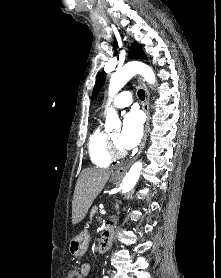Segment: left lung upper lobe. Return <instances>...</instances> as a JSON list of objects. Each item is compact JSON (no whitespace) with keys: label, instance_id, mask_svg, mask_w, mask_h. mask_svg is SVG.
Segmentation results:
<instances>
[{"label":"left lung upper lobe","instance_id":"left-lung-upper-lobe-1","mask_svg":"<svg viewBox=\"0 0 221 278\" xmlns=\"http://www.w3.org/2000/svg\"><path fill=\"white\" fill-rule=\"evenodd\" d=\"M130 56L134 57V58H142V59H146V55L143 52L142 48L139 46L138 43H134L133 47L131 49L130 52ZM106 79V73L105 72H101L96 80L94 89H93V95L92 98L99 92V90L101 89V87L104 84V81Z\"/></svg>","mask_w":221,"mask_h":278}]
</instances>
